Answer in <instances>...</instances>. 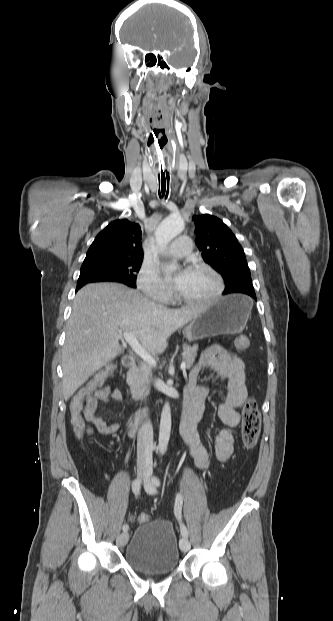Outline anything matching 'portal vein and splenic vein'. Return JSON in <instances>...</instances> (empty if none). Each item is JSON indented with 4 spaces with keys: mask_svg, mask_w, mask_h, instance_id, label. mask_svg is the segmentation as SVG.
<instances>
[{
    "mask_svg": "<svg viewBox=\"0 0 333 621\" xmlns=\"http://www.w3.org/2000/svg\"><path fill=\"white\" fill-rule=\"evenodd\" d=\"M122 336L124 337L125 341L131 346L134 352L142 358L143 361H145L150 366L156 365L155 359L145 350V348L141 346L133 332H123ZM180 368L182 370H185V361L181 363Z\"/></svg>",
    "mask_w": 333,
    "mask_h": 621,
    "instance_id": "18ae733b",
    "label": "portal vein and splenic vein"
}]
</instances>
